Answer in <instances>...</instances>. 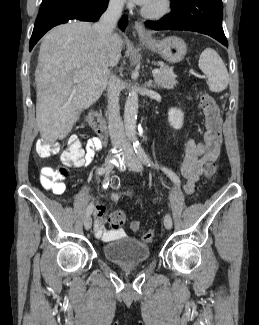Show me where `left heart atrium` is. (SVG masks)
<instances>
[{"mask_svg":"<svg viewBox=\"0 0 259 325\" xmlns=\"http://www.w3.org/2000/svg\"><path fill=\"white\" fill-rule=\"evenodd\" d=\"M134 2H136L137 4H141V5H149L152 0H133Z\"/></svg>","mask_w":259,"mask_h":325,"instance_id":"39dd6f15","label":"left heart atrium"}]
</instances>
